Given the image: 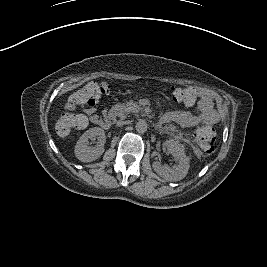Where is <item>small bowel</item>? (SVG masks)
<instances>
[{"mask_svg":"<svg viewBox=\"0 0 267 267\" xmlns=\"http://www.w3.org/2000/svg\"><path fill=\"white\" fill-rule=\"evenodd\" d=\"M190 93V101L188 105L191 106L195 103L198 105L199 114L197 116H192L186 113H166L161 118L162 124H168L172 122L179 123L184 127H194L198 124H203L205 126H211L215 124L219 119V114L215 109L214 105V94L205 88H195L190 87L186 88ZM76 108V104L74 102L67 104V109L73 111ZM82 111L84 112V117H86L87 121L92 124L99 125L100 127H106L105 118H101L96 114L95 105H85L82 107Z\"/></svg>","mask_w":267,"mask_h":267,"instance_id":"1","label":"small bowel"}]
</instances>
